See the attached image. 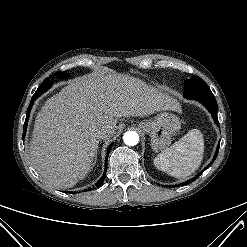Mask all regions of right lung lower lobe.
Segmentation results:
<instances>
[{
    "label": "right lung lower lobe",
    "mask_w": 247,
    "mask_h": 247,
    "mask_svg": "<svg viewBox=\"0 0 247 247\" xmlns=\"http://www.w3.org/2000/svg\"><path fill=\"white\" fill-rule=\"evenodd\" d=\"M36 99H37L36 97H32L31 102H30V105H29L28 110H27L26 119H25L24 128H23V139H24L25 134H26L27 124H28V119H29L30 111H31L33 102ZM112 145H113V143L107 149V155H106V158H105V167L106 168H105L104 174L101 177V179L95 184V187H100L103 184V181H104V178H105V174H106V170H107V158H108V155H109V152L111 150Z\"/></svg>",
    "instance_id": "obj_1"
}]
</instances>
